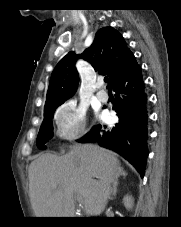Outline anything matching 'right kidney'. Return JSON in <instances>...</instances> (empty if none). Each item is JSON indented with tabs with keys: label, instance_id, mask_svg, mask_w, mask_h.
Listing matches in <instances>:
<instances>
[{
	"label": "right kidney",
	"instance_id": "ca27d5eb",
	"mask_svg": "<svg viewBox=\"0 0 181 227\" xmlns=\"http://www.w3.org/2000/svg\"><path fill=\"white\" fill-rule=\"evenodd\" d=\"M123 203H124V206L127 210H131L133 208V198L129 195L125 196L123 198Z\"/></svg>",
	"mask_w": 181,
	"mask_h": 227
}]
</instances>
